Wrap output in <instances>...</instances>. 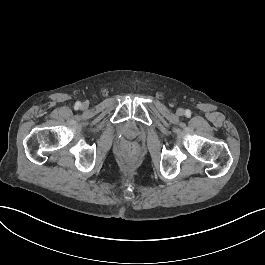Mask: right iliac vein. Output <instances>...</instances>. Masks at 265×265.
I'll list each match as a JSON object with an SVG mask.
<instances>
[{"mask_svg": "<svg viewBox=\"0 0 265 265\" xmlns=\"http://www.w3.org/2000/svg\"><path fill=\"white\" fill-rule=\"evenodd\" d=\"M81 106H82L83 109L87 108V104L86 103H83Z\"/></svg>", "mask_w": 265, "mask_h": 265, "instance_id": "obj_1", "label": "right iliac vein"}]
</instances>
